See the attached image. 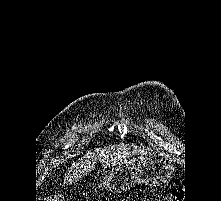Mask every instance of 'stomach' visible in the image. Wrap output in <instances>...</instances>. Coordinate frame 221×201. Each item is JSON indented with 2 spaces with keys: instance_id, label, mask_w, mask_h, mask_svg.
<instances>
[{
  "instance_id": "obj_1",
  "label": "stomach",
  "mask_w": 221,
  "mask_h": 201,
  "mask_svg": "<svg viewBox=\"0 0 221 201\" xmlns=\"http://www.w3.org/2000/svg\"><path fill=\"white\" fill-rule=\"evenodd\" d=\"M175 171V161L168 155H149L135 164L113 167L99 184V188L113 193H123L137 183L158 186L166 182Z\"/></svg>"
}]
</instances>
